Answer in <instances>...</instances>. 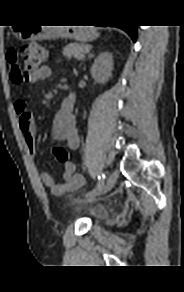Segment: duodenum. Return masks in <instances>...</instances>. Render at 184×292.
<instances>
[{
  "label": "duodenum",
  "mask_w": 184,
  "mask_h": 292,
  "mask_svg": "<svg viewBox=\"0 0 184 292\" xmlns=\"http://www.w3.org/2000/svg\"><path fill=\"white\" fill-rule=\"evenodd\" d=\"M66 100H67L68 102H71L72 99H71V97H67Z\"/></svg>",
  "instance_id": "duodenum-1"
}]
</instances>
